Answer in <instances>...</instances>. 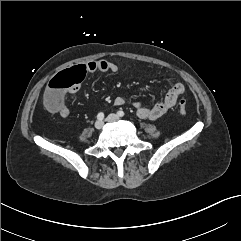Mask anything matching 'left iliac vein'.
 Instances as JSON below:
<instances>
[{"mask_svg":"<svg viewBox=\"0 0 241 241\" xmlns=\"http://www.w3.org/2000/svg\"><path fill=\"white\" fill-rule=\"evenodd\" d=\"M107 121L108 122H117V121H119V117L116 114H109L107 116Z\"/></svg>","mask_w":241,"mask_h":241,"instance_id":"left-iliac-vein-1","label":"left iliac vein"}]
</instances>
